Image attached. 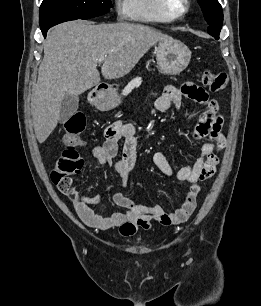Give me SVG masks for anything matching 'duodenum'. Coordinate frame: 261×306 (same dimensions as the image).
<instances>
[{
	"instance_id": "obj_1",
	"label": "duodenum",
	"mask_w": 261,
	"mask_h": 306,
	"mask_svg": "<svg viewBox=\"0 0 261 306\" xmlns=\"http://www.w3.org/2000/svg\"><path fill=\"white\" fill-rule=\"evenodd\" d=\"M109 94V88L107 85L105 84H101L99 86H97V88L95 89L94 93H93V101L96 103L102 102L103 100L106 99V97Z\"/></svg>"
}]
</instances>
